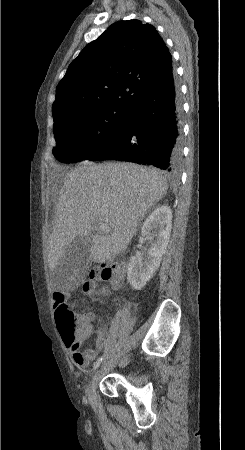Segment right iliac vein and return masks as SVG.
<instances>
[{
	"label": "right iliac vein",
	"mask_w": 245,
	"mask_h": 450,
	"mask_svg": "<svg viewBox=\"0 0 245 450\" xmlns=\"http://www.w3.org/2000/svg\"><path fill=\"white\" fill-rule=\"evenodd\" d=\"M99 375H100V369H98L94 375L92 376L90 382H89V386L87 389V394H88V398L90 400H95L96 399V386H97V382L99 380Z\"/></svg>",
	"instance_id": "right-iliac-vein-1"
}]
</instances>
